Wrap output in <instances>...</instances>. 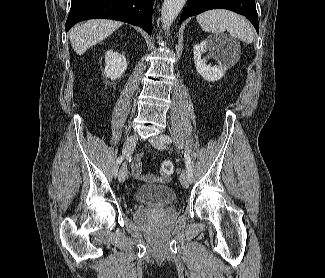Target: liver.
I'll return each instance as SVG.
<instances>
[{
  "label": "liver",
  "mask_w": 325,
  "mask_h": 278,
  "mask_svg": "<svg viewBox=\"0 0 325 278\" xmlns=\"http://www.w3.org/2000/svg\"><path fill=\"white\" fill-rule=\"evenodd\" d=\"M120 26H122V23L119 21L106 19L89 20L83 24L77 25L71 30V45L78 55H82L91 46L111 35Z\"/></svg>",
  "instance_id": "1"
}]
</instances>
